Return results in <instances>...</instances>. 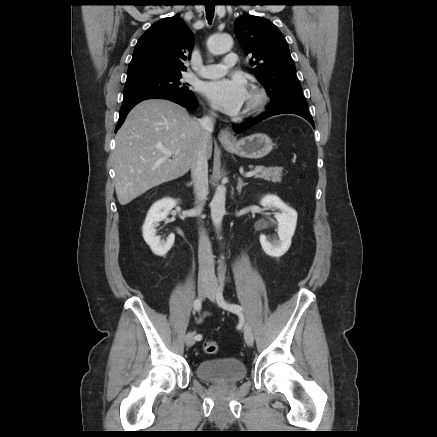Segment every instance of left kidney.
Here are the masks:
<instances>
[{
	"label": "left kidney",
	"mask_w": 437,
	"mask_h": 437,
	"mask_svg": "<svg viewBox=\"0 0 437 437\" xmlns=\"http://www.w3.org/2000/svg\"><path fill=\"white\" fill-rule=\"evenodd\" d=\"M260 205L273 207L280 211L274 215L278 222L277 233L279 240L274 239L273 241H270L262 234L260 235V243L267 255L281 257L288 251L291 245V239L294 235L297 223V212L293 208L287 206L278 196L271 194L265 195L260 200Z\"/></svg>",
	"instance_id": "1"
}]
</instances>
